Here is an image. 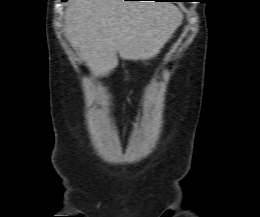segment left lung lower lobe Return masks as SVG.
Returning <instances> with one entry per match:
<instances>
[{
    "mask_svg": "<svg viewBox=\"0 0 260 217\" xmlns=\"http://www.w3.org/2000/svg\"><path fill=\"white\" fill-rule=\"evenodd\" d=\"M157 1H170V0H157Z\"/></svg>",
    "mask_w": 260,
    "mask_h": 217,
    "instance_id": "1",
    "label": "left lung lower lobe"
}]
</instances>
